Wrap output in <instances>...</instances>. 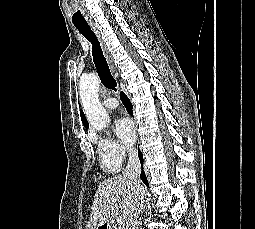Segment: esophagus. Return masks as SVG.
Masks as SVG:
<instances>
[{
    "mask_svg": "<svg viewBox=\"0 0 255 229\" xmlns=\"http://www.w3.org/2000/svg\"><path fill=\"white\" fill-rule=\"evenodd\" d=\"M89 25L92 28V30L94 31V33L96 34V36H97V38L100 42V45L102 47L104 56H105V58L107 60V63L109 65V68H110L111 72L114 74L115 73V66H114L113 58H112L107 46L105 45V43L103 41V38H102L98 28L92 22H89Z\"/></svg>",
    "mask_w": 255,
    "mask_h": 229,
    "instance_id": "obj_1",
    "label": "esophagus"
}]
</instances>
